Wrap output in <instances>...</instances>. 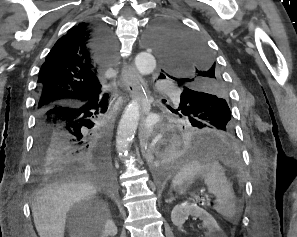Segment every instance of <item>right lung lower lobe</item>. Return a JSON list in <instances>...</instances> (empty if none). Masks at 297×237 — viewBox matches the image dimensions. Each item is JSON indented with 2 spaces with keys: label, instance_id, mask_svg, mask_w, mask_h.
Masks as SVG:
<instances>
[{
  "label": "right lung lower lobe",
  "instance_id": "right-lung-lower-lobe-1",
  "mask_svg": "<svg viewBox=\"0 0 297 237\" xmlns=\"http://www.w3.org/2000/svg\"><path fill=\"white\" fill-rule=\"evenodd\" d=\"M97 47L108 50L111 38L97 24ZM99 98L79 105H56L37 112L34 139L33 178L46 182L79 173L112 176L106 137H91L83 127L92 128L91 110H98ZM95 112V113H96Z\"/></svg>",
  "mask_w": 297,
  "mask_h": 237
}]
</instances>
